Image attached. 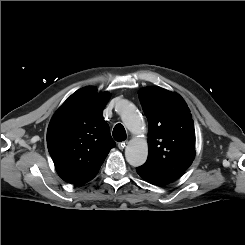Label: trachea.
<instances>
[{"label": "trachea", "mask_w": 245, "mask_h": 245, "mask_svg": "<svg viewBox=\"0 0 245 245\" xmlns=\"http://www.w3.org/2000/svg\"><path fill=\"white\" fill-rule=\"evenodd\" d=\"M113 137L116 141L121 142L126 139V131L122 124H117L113 129Z\"/></svg>", "instance_id": "3493384b"}]
</instances>
